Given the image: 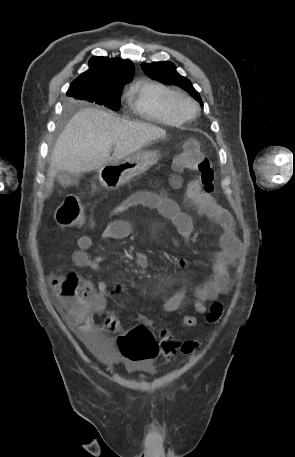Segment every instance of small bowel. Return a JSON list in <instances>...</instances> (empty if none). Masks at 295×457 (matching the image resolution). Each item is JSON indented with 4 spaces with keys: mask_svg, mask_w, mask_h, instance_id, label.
<instances>
[{
    "mask_svg": "<svg viewBox=\"0 0 295 457\" xmlns=\"http://www.w3.org/2000/svg\"><path fill=\"white\" fill-rule=\"evenodd\" d=\"M185 195L195 205L196 216L205 217L217 224L221 229V233L218 236L219 250L211 256L212 276L207 282L195 290L193 309L196 314H203L207 309L206 302L216 300L229 291L231 283L228 275V267L234 261L239 251L240 241L236 234L232 215L216 202L212 194L204 192L201 182L198 180L190 181L187 184ZM135 206H145L157 210L162 216L172 222L185 242H189L190 235L193 231V216L182 212L178 204L169 197L152 190H142L132 194L111 209L108 217L112 218ZM132 233L133 228L128 221L113 219L104 227L101 237L103 239L118 240L125 239ZM77 244L78 248L72 254L74 264L77 267L99 270L104 257L97 256L90 258L88 250L92 245L91 237L82 235L78 238ZM136 263L141 267H146L149 264V260L143 252L139 251L136 253ZM176 264L184 266L185 262L179 259L176 261ZM50 284L55 291V277L50 279ZM89 288L93 312L101 313L105 308L104 294L108 291L109 284L105 280H100L96 286H90ZM185 298V291L179 290L163 303V311L170 313L178 310ZM139 320L142 323L148 324V321L144 317H140ZM68 322L80 338H103L102 329L95 325L90 315L86 319H77L68 316ZM182 322L185 327H194L197 325L198 320L195 315L187 314L183 317ZM116 357H118L117 354ZM130 363L134 362L130 361Z\"/></svg>",
    "mask_w": 295,
    "mask_h": 457,
    "instance_id": "obj_1",
    "label": "small bowel"
}]
</instances>
